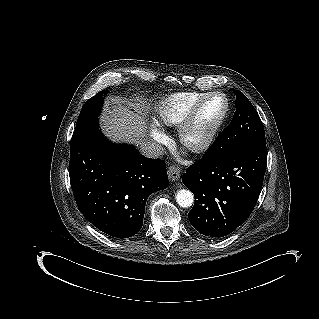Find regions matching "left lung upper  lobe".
<instances>
[{"label": "left lung upper lobe", "instance_id": "1", "mask_svg": "<svg viewBox=\"0 0 319 319\" xmlns=\"http://www.w3.org/2000/svg\"><path fill=\"white\" fill-rule=\"evenodd\" d=\"M232 90L236 94L233 120L205 153L204 157L207 159H214L244 147L265 144L264 127L257 111L242 92Z\"/></svg>", "mask_w": 319, "mask_h": 319}]
</instances>
